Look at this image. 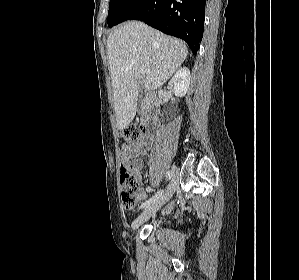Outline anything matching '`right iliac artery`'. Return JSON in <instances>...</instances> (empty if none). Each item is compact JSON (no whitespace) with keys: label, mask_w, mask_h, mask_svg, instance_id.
I'll list each match as a JSON object with an SVG mask.
<instances>
[{"label":"right iliac artery","mask_w":299,"mask_h":280,"mask_svg":"<svg viewBox=\"0 0 299 280\" xmlns=\"http://www.w3.org/2000/svg\"><path fill=\"white\" fill-rule=\"evenodd\" d=\"M166 177L168 180H170L172 178V172L167 171ZM163 192H164V190H160L159 192H157L153 197H151L150 199L143 202L141 204L140 208H145V207L149 206L150 204H152L153 202H155L163 194Z\"/></svg>","instance_id":"1"}]
</instances>
